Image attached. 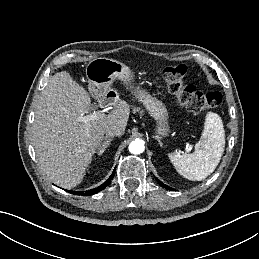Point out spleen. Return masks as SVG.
Here are the masks:
<instances>
[{"label":"spleen","instance_id":"3e777b00","mask_svg":"<svg viewBox=\"0 0 259 259\" xmlns=\"http://www.w3.org/2000/svg\"><path fill=\"white\" fill-rule=\"evenodd\" d=\"M225 147V131L221 117L206 114L204 130L192 154L170 153V161L177 172L188 180L201 181L218 166Z\"/></svg>","mask_w":259,"mask_h":259}]
</instances>
